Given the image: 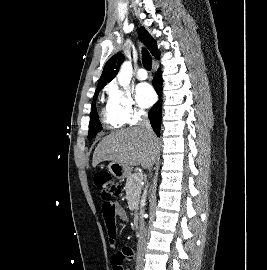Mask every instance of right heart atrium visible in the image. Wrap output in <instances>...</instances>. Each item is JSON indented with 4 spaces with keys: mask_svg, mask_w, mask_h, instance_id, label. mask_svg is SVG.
<instances>
[{
    "mask_svg": "<svg viewBox=\"0 0 267 270\" xmlns=\"http://www.w3.org/2000/svg\"><path fill=\"white\" fill-rule=\"evenodd\" d=\"M106 92L109 108L124 124H135L145 116V112L136 105L128 88L119 86L117 82H111Z\"/></svg>",
    "mask_w": 267,
    "mask_h": 270,
    "instance_id": "obj_1",
    "label": "right heart atrium"
}]
</instances>
